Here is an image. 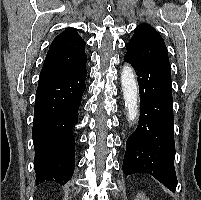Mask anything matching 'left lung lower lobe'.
<instances>
[{"mask_svg":"<svg viewBox=\"0 0 201 200\" xmlns=\"http://www.w3.org/2000/svg\"><path fill=\"white\" fill-rule=\"evenodd\" d=\"M138 76L140 118L136 131L126 142L124 174L148 173L174 191V116L171 68L167 62L139 63L128 56Z\"/></svg>","mask_w":201,"mask_h":200,"instance_id":"0a47b994","label":"left lung lower lobe"}]
</instances>
